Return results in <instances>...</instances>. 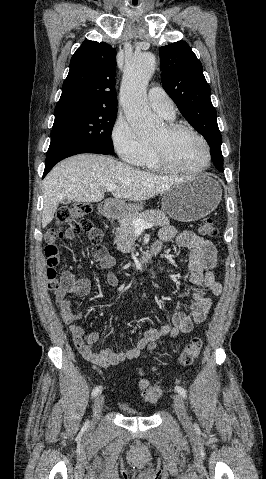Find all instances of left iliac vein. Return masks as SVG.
Listing matches in <instances>:
<instances>
[{
	"mask_svg": "<svg viewBox=\"0 0 266 479\" xmlns=\"http://www.w3.org/2000/svg\"><path fill=\"white\" fill-rule=\"evenodd\" d=\"M173 404L175 412L181 424L185 427L190 426L191 421L188 417L183 398L179 394H175L173 396Z\"/></svg>",
	"mask_w": 266,
	"mask_h": 479,
	"instance_id": "left-iliac-vein-1",
	"label": "left iliac vein"
}]
</instances>
